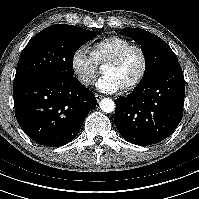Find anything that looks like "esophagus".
Listing matches in <instances>:
<instances>
[{
	"mask_svg": "<svg viewBox=\"0 0 199 199\" xmlns=\"http://www.w3.org/2000/svg\"><path fill=\"white\" fill-rule=\"evenodd\" d=\"M95 98H96L97 102H99L101 99H103V96L99 95V94H95Z\"/></svg>",
	"mask_w": 199,
	"mask_h": 199,
	"instance_id": "1",
	"label": "esophagus"
}]
</instances>
